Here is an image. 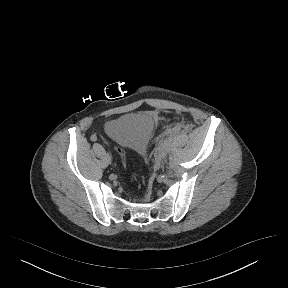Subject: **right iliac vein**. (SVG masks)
I'll return each mask as SVG.
<instances>
[{
  "mask_svg": "<svg viewBox=\"0 0 288 288\" xmlns=\"http://www.w3.org/2000/svg\"><path fill=\"white\" fill-rule=\"evenodd\" d=\"M106 157H107L108 162L111 163V156L109 154H107Z\"/></svg>",
  "mask_w": 288,
  "mask_h": 288,
  "instance_id": "63e3f726",
  "label": "right iliac vein"
}]
</instances>
